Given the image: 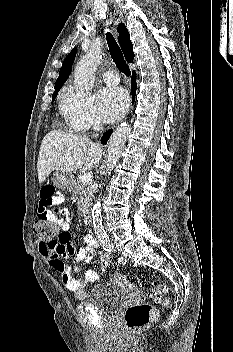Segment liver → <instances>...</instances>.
Wrapping results in <instances>:
<instances>
[{
    "instance_id": "6515ba94",
    "label": "liver",
    "mask_w": 233,
    "mask_h": 352,
    "mask_svg": "<svg viewBox=\"0 0 233 352\" xmlns=\"http://www.w3.org/2000/svg\"><path fill=\"white\" fill-rule=\"evenodd\" d=\"M101 156L99 145L87 137L50 131L40 146L37 163L39 183H43L54 170L70 173L82 167L91 170L98 165Z\"/></svg>"
}]
</instances>
